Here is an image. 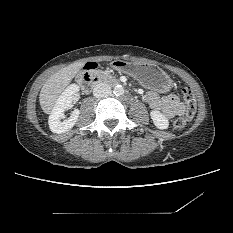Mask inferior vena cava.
Masks as SVG:
<instances>
[{
	"mask_svg": "<svg viewBox=\"0 0 233 233\" xmlns=\"http://www.w3.org/2000/svg\"><path fill=\"white\" fill-rule=\"evenodd\" d=\"M111 93H112V90L110 86L106 83H99L93 89V95L96 98L108 97L109 95H111Z\"/></svg>",
	"mask_w": 233,
	"mask_h": 233,
	"instance_id": "602c4592",
	"label": "inferior vena cava"
}]
</instances>
